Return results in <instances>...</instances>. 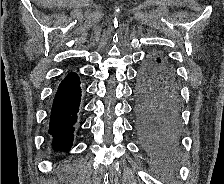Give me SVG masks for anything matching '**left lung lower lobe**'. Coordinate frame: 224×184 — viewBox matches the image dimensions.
Listing matches in <instances>:
<instances>
[{"mask_svg":"<svg viewBox=\"0 0 224 184\" xmlns=\"http://www.w3.org/2000/svg\"><path fill=\"white\" fill-rule=\"evenodd\" d=\"M160 58L143 62L135 88L136 129L141 139L156 149L175 147L181 134L179 84Z\"/></svg>","mask_w":224,"mask_h":184,"instance_id":"obj_1","label":"left lung lower lobe"}]
</instances>
